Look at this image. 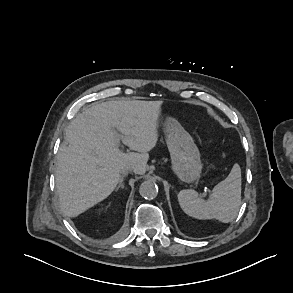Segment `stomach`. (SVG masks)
<instances>
[{
	"label": "stomach",
	"instance_id": "1",
	"mask_svg": "<svg viewBox=\"0 0 293 293\" xmlns=\"http://www.w3.org/2000/svg\"><path fill=\"white\" fill-rule=\"evenodd\" d=\"M163 129L174 174L182 182L192 183L198 180L203 165L191 135L174 118L166 119Z\"/></svg>",
	"mask_w": 293,
	"mask_h": 293
}]
</instances>
